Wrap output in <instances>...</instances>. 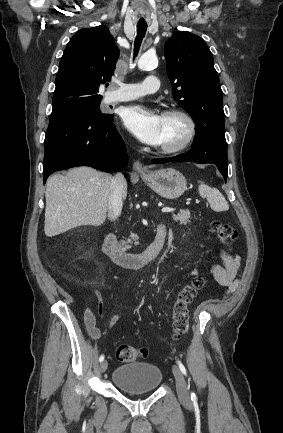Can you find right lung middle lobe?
<instances>
[{
	"mask_svg": "<svg viewBox=\"0 0 283 433\" xmlns=\"http://www.w3.org/2000/svg\"><path fill=\"white\" fill-rule=\"evenodd\" d=\"M100 102L101 101L83 104V105H80V106H77V107H74V108H71V109H68L65 111L52 113L50 116V119L63 118V117H69V116H75V115H89V114L99 115V116H104V117L110 116V114H104L101 112Z\"/></svg>",
	"mask_w": 283,
	"mask_h": 433,
	"instance_id": "dd1d6c3e",
	"label": "right lung middle lobe"
}]
</instances>
